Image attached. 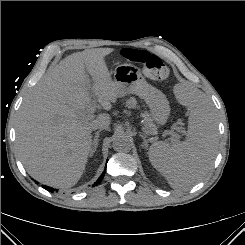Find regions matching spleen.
<instances>
[{
    "mask_svg": "<svg viewBox=\"0 0 245 245\" xmlns=\"http://www.w3.org/2000/svg\"><path fill=\"white\" fill-rule=\"evenodd\" d=\"M180 98L189 110L186 140L172 146L155 142L148 154L151 164L170 186L184 190L210 170L218 146V128L212 104L202 91L185 85Z\"/></svg>",
    "mask_w": 245,
    "mask_h": 245,
    "instance_id": "spleen-1",
    "label": "spleen"
}]
</instances>
